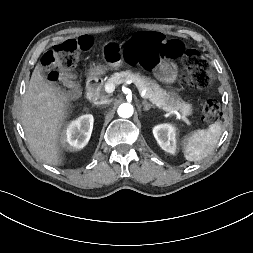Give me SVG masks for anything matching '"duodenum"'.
<instances>
[{
	"instance_id": "410a0bca",
	"label": "duodenum",
	"mask_w": 253,
	"mask_h": 253,
	"mask_svg": "<svg viewBox=\"0 0 253 253\" xmlns=\"http://www.w3.org/2000/svg\"><path fill=\"white\" fill-rule=\"evenodd\" d=\"M101 81L98 77H91L87 82L86 98L94 102L99 98Z\"/></svg>"
}]
</instances>
